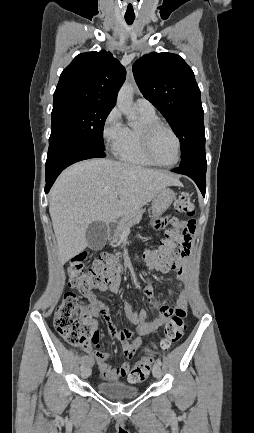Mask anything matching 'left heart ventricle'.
<instances>
[{
    "label": "left heart ventricle",
    "instance_id": "b2bd125f",
    "mask_svg": "<svg viewBox=\"0 0 254 433\" xmlns=\"http://www.w3.org/2000/svg\"><path fill=\"white\" fill-rule=\"evenodd\" d=\"M152 151L156 159L163 164H170L177 156V144L174 137L165 129H159L152 138Z\"/></svg>",
    "mask_w": 254,
    "mask_h": 433
}]
</instances>
